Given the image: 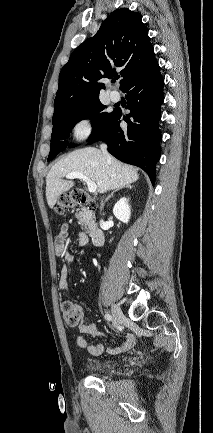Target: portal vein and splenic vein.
<instances>
[{"instance_id": "18ae733b", "label": "portal vein and splenic vein", "mask_w": 213, "mask_h": 433, "mask_svg": "<svg viewBox=\"0 0 213 433\" xmlns=\"http://www.w3.org/2000/svg\"><path fill=\"white\" fill-rule=\"evenodd\" d=\"M67 179H75L78 178L84 181L87 184L88 190L90 193H95L97 190V185L94 183L89 177L80 172H72L66 175Z\"/></svg>"}]
</instances>
